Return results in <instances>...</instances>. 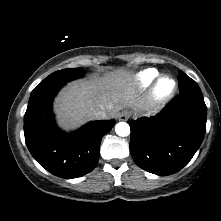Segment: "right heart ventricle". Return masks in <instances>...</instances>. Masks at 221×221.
<instances>
[{
  "label": "right heart ventricle",
  "instance_id": "right-heart-ventricle-1",
  "mask_svg": "<svg viewBox=\"0 0 221 221\" xmlns=\"http://www.w3.org/2000/svg\"><path fill=\"white\" fill-rule=\"evenodd\" d=\"M158 75L157 71L154 69H146L141 71L137 77V84L140 88H145L151 84V82L155 79Z\"/></svg>",
  "mask_w": 221,
  "mask_h": 221
}]
</instances>
